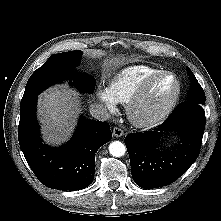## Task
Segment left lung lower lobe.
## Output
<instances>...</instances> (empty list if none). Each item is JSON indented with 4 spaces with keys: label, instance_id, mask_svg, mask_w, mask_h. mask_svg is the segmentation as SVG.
I'll return each instance as SVG.
<instances>
[{
    "label": "left lung lower lobe",
    "instance_id": "1",
    "mask_svg": "<svg viewBox=\"0 0 221 221\" xmlns=\"http://www.w3.org/2000/svg\"><path fill=\"white\" fill-rule=\"evenodd\" d=\"M205 121L201 105L184 101L154 131L127 135L125 144L135 183L145 189L157 188L182 176L199 155ZM166 131L178 134L179 142L172 148H161V135Z\"/></svg>",
    "mask_w": 221,
    "mask_h": 221
}]
</instances>
